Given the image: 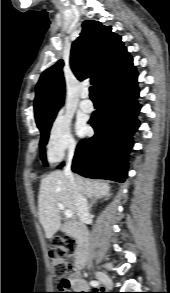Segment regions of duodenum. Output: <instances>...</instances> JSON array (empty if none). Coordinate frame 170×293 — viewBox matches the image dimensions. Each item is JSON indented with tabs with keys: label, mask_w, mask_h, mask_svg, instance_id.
Listing matches in <instances>:
<instances>
[{
	"label": "duodenum",
	"mask_w": 170,
	"mask_h": 293,
	"mask_svg": "<svg viewBox=\"0 0 170 293\" xmlns=\"http://www.w3.org/2000/svg\"><path fill=\"white\" fill-rule=\"evenodd\" d=\"M61 231L65 234L74 235L78 239L79 251L76 256L75 265L77 268H81L88 257L89 231L79 227L76 223H69L63 226Z\"/></svg>",
	"instance_id": "duodenum-1"
}]
</instances>
